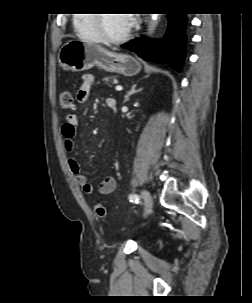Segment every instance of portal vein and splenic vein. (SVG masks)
I'll return each mask as SVG.
<instances>
[{"label": "portal vein and splenic vein", "instance_id": "portal-vein-and-splenic-vein-1", "mask_svg": "<svg viewBox=\"0 0 252 303\" xmlns=\"http://www.w3.org/2000/svg\"><path fill=\"white\" fill-rule=\"evenodd\" d=\"M115 89H116V91H121L123 88H122V86L117 85V86L115 87Z\"/></svg>", "mask_w": 252, "mask_h": 303}]
</instances>
